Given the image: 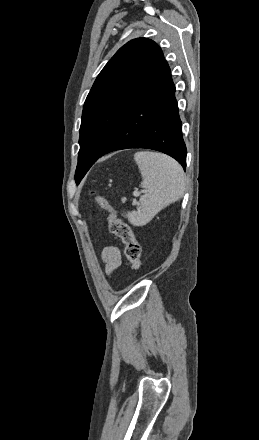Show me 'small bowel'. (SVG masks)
Listing matches in <instances>:
<instances>
[{"instance_id": "1", "label": "small bowel", "mask_w": 259, "mask_h": 440, "mask_svg": "<svg viewBox=\"0 0 259 440\" xmlns=\"http://www.w3.org/2000/svg\"><path fill=\"white\" fill-rule=\"evenodd\" d=\"M102 259L105 263V272L111 275L122 264V256L120 250L116 246H107L102 253Z\"/></svg>"}]
</instances>
